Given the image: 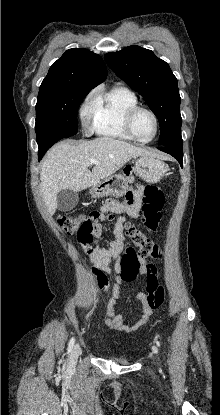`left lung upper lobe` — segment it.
I'll return each mask as SVG.
<instances>
[{
  "label": "left lung upper lobe",
  "instance_id": "1",
  "mask_svg": "<svg viewBox=\"0 0 220 415\" xmlns=\"http://www.w3.org/2000/svg\"><path fill=\"white\" fill-rule=\"evenodd\" d=\"M108 66L146 100L160 125L161 146L182 145L180 95L169 65L151 50L129 46L107 53Z\"/></svg>",
  "mask_w": 220,
  "mask_h": 415
}]
</instances>
